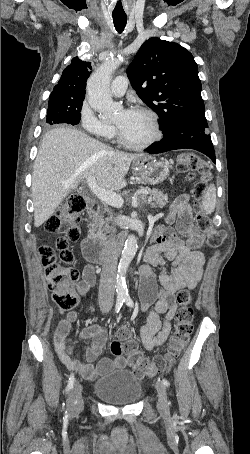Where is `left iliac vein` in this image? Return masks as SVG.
Returning a JSON list of instances; mask_svg holds the SVG:
<instances>
[{"mask_svg": "<svg viewBox=\"0 0 250 454\" xmlns=\"http://www.w3.org/2000/svg\"><path fill=\"white\" fill-rule=\"evenodd\" d=\"M155 387L158 393V409L161 413L166 414L169 412L166 387L160 381L156 382Z\"/></svg>", "mask_w": 250, "mask_h": 454, "instance_id": "left-iliac-vein-1", "label": "left iliac vein"}]
</instances>
